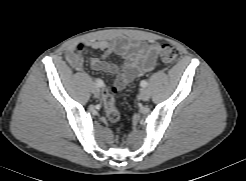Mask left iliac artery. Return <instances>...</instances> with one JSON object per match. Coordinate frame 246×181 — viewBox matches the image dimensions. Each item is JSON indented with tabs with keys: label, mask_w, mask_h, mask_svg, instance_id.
Here are the masks:
<instances>
[{
	"label": "left iliac artery",
	"mask_w": 246,
	"mask_h": 181,
	"mask_svg": "<svg viewBox=\"0 0 246 181\" xmlns=\"http://www.w3.org/2000/svg\"><path fill=\"white\" fill-rule=\"evenodd\" d=\"M140 85H141L142 87H147L148 83H147V81L142 80L141 83H140Z\"/></svg>",
	"instance_id": "obj_1"
}]
</instances>
